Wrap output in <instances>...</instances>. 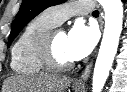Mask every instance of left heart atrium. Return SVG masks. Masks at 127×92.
Here are the masks:
<instances>
[{"mask_svg":"<svg viewBox=\"0 0 127 92\" xmlns=\"http://www.w3.org/2000/svg\"><path fill=\"white\" fill-rule=\"evenodd\" d=\"M97 41L95 28L77 22L67 34V51L72 60H80L90 54Z\"/></svg>","mask_w":127,"mask_h":92,"instance_id":"1","label":"left heart atrium"}]
</instances>
